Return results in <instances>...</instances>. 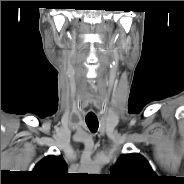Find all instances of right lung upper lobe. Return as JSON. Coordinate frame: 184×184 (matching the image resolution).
Returning <instances> with one entry per match:
<instances>
[{
  "label": "right lung upper lobe",
  "instance_id": "cb5924a9",
  "mask_svg": "<svg viewBox=\"0 0 184 184\" xmlns=\"http://www.w3.org/2000/svg\"><path fill=\"white\" fill-rule=\"evenodd\" d=\"M38 180L45 184H61L67 181V164L62 156L50 155L42 159L33 169Z\"/></svg>",
  "mask_w": 184,
  "mask_h": 184
}]
</instances>
